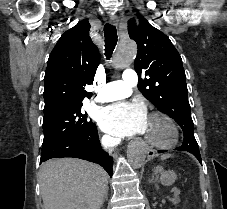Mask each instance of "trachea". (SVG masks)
I'll return each instance as SVG.
<instances>
[{"label": "trachea", "instance_id": "trachea-1", "mask_svg": "<svg viewBox=\"0 0 227 209\" xmlns=\"http://www.w3.org/2000/svg\"><path fill=\"white\" fill-rule=\"evenodd\" d=\"M105 33V55L109 59L113 53L114 48L117 44V31L114 25L106 23L104 26Z\"/></svg>", "mask_w": 227, "mask_h": 209}]
</instances>
